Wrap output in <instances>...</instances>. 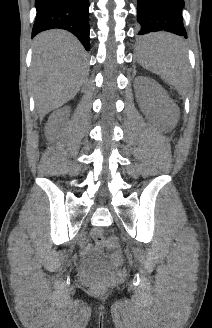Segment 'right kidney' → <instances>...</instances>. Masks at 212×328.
Wrapping results in <instances>:
<instances>
[{
    "label": "right kidney",
    "mask_w": 212,
    "mask_h": 328,
    "mask_svg": "<svg viewBox=\"0 0 212 328\" xmlns=\"http://www.w3.org/2000/svg\"><path fill=\"white\" fill-rule=\"evenodd\" d=\"M70 109L69 107H64L62 109H58L54 111L46 124V132L53 133L55 132L59 125L64 122V120L69 116Z\"/></svg>",
    "instance_id": "1"
}]
</instances>
